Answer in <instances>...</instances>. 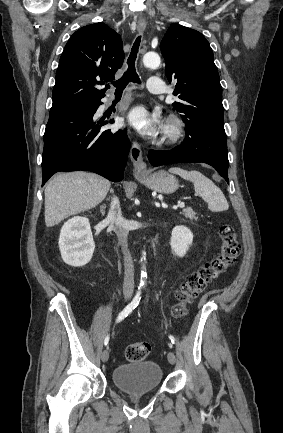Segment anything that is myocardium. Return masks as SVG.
Listing matches in <instances>:
<instances>
[{
    "label": "myocardium",
    "instance_id": "obj_1",
    "mask_svg": "<svg viewBox=\"0 0 283 433\" xmlns=\"http://www.w3.org/2000/svg\"><path fill=\"white\" fill-rule=\"evenodd\" d=\"M187 132L186 120L177 114H171L166 118L165 122V133L169 146L167 148H173L179 144L185 137Z\"/></svg>",
    "mask_w": 283,
    "mask_h": 433
}]
</instances>
